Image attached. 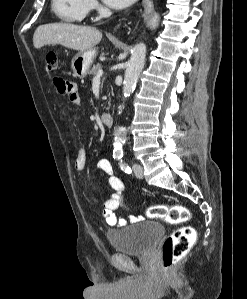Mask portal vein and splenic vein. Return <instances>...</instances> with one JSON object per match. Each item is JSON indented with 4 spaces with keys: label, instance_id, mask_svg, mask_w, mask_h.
Returning a JSON list of instances; mask_svg holds the SVG:
<instances>
[{
    "label": "portal vein and splenic vein",
    "instance_id": "portal-vein-and-splenic-vein-1",
    "mask_svg": "<svg viewBox=\"0 0 247 299\" xmlns=\"http://www.w3.org/2000/svg\"><path fill=\"white\" fill-rule=\"evenodd\" d=\"M102 75H103V71L99 70L96 76L94 77V80H99L102 77Z\"/></svg>",
    "mask_w": 247,
    "mask_h": 299
}]
</instances>
